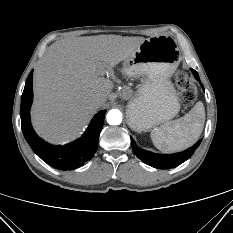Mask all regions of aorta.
Listing matches in <instances>:
<instances>
[{
    "instance_id": "aorta-1",
    "label": "aorta",
    "mask_w": 233,
    "mask_h": 233,
    "mask_svg": "<svg viewBox=\"0 0 233 233\" xmlns=\"http://www.w3.org/2000/svg\"><path fill=\"white\" fill-rule=\"evenodd\" d=\"M106 118L110 125H119L122 121V113L117 109H112L108 112Z\"/></svg>"
}]
</instances>
